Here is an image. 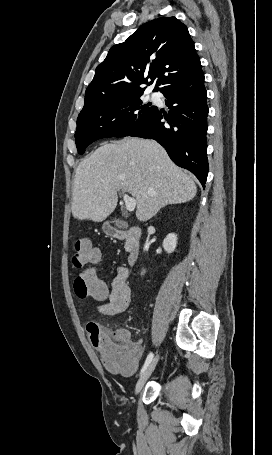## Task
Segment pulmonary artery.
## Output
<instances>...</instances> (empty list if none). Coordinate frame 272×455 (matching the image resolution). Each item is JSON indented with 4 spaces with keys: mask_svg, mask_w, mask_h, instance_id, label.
Returning a JSON list of instances; mask_svg holds the SVG:
<instances>
[{
    "mask_svg": "<svg viewBox=\"0 0 272 455\" xmlns=\"http://www.w3.org/2000/svg\"><path fill=\"white\" fill-rule=\"evenodd\" d=\"M152 97H153V98H156V94H152Z\"/></svg>",
    "mask_w": 272,
    "mask_h": 455,
    "instance_id": "1",
    "label": "pulmonary artery"
}]
</instances>
